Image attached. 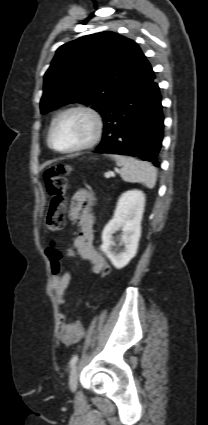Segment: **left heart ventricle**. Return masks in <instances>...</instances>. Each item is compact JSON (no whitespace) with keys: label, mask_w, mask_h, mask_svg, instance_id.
<instances>
[{"label":"left heart ventricle","mask_w":208,"mask_h":425,"mask_svg":"<svg viewBox=\"0 0 208 425\" xmlns=\"http://www.w3.org/2000/svg\"><path fill=\"white\" fill-rule=\"evenodd\" d=\"M93 129V121L89 116L82 113L68 114L57 124L53 144L59 149L79 146L90 139Z\"/></svg>","instance_id":"b2bd125f"}]
</instances>
